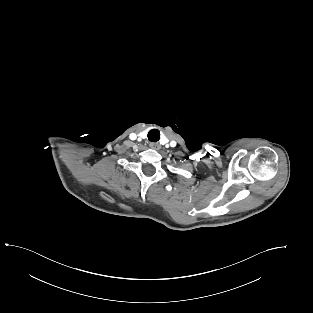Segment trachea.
Instances as JSON below:
<instances>
[{"mask_svg":"<svg viewBox=\"0 0 313 313\" xmlns=\"http://www.w3.org/2000/svg\"><path fill=\"white\" fill-rule=\"evenodd\" d=\"M148 139L151 142H157L160 139V132L157 129H152L148 133Z\"/></svg>","mask_w":313,"mask_h":313,"instance_id":"3493384b","label":"trachea"}]
</instances>
